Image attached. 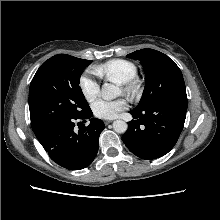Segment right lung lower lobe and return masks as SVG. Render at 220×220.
Returning <instances> with one entry per match:
<instances>
[{
    "label": "right lung lower lobe",
    "mask_w": 220,
    "mask_h": 220,
    "mask_svg": "<svg viewBox=\"0 0 220 220\" xmlns=\"http://www.w3.org/2000/svg\"><path fill=\"white\" fill-rule=\"evenodd\" d=\"M93 113L89 108L84 113L74 117H64L35 131V135L50 158L58 165L80 170L89 166L94 160L99 147V136L104 129L100 119L91 118ZM90 118V124L74 130L75 120Z\"/></svg>",
    "instance_id": "right-lung-lower-lobe-1"
}]
</instances>
